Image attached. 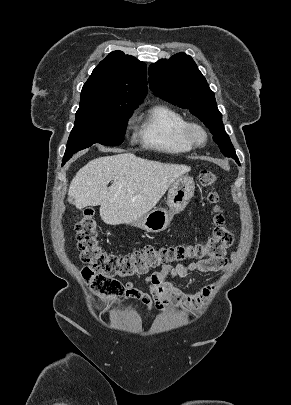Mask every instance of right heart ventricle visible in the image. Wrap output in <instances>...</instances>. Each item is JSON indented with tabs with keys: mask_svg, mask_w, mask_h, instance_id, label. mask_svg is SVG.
<instances>
[{
	"mask_svg": "<svg viewBox=\"0 0 291 405\" xmlns=\"http://www.w3.org/2000/svg\"><path fill=\"white\" fill-rule=\"evenodd\" d=\"M186 122L177 110L166 104H156L138 118L137 138L143 145L157 151L188 153L193 146L183 134Z\"/></svg>",
	"mask_w": 291,
	"mask_h": 405,
	"instance_id": "obj_1",
	"label": "right heart ventricle"
}]
</instances>
